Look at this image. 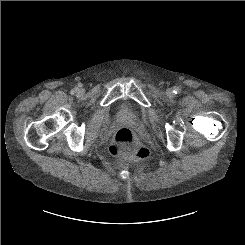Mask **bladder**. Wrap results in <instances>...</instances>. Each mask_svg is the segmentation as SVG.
Returning a JSON list of instances; mask_svg holds the SVG:
<instances>
[{"mask_svg":"<svg viewBox=\"0 0 245 245\" xmlns=\"http://www.w3.org/2000/svg\"><path fill=\"white\" fill-rule=\"evenodd\" d=\"M130 113L128 111H123V115L128 116Z\"/></svg>","mask_w":245,"mask_h":245,"instance_id":"obj_1","label":"bladder"}]
</instances>
